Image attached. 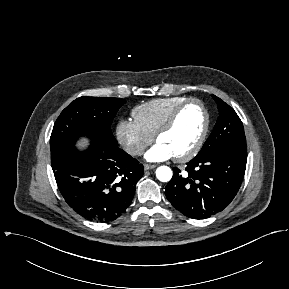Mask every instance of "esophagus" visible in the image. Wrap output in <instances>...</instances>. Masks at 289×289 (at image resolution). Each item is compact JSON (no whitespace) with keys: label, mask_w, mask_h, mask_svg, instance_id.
<instances>
[{"label":"esophagus","mask_w":289,"mask_h":289,"mask_svg":"<svg viewBox=\"0 0 289 289\" xmlns=\"http://www.w3.org/2000/svg\"><path fill=\"white\" fill-rule=\"evenodd\" d=\"M156 168V165H152V164H144V169L145 170H151Z\"/></svg>","instance_id":"34e87169"}]
</instances>
